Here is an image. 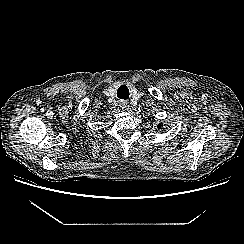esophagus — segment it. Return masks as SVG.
Segmentation results:
<instances>
[{"label": "esophagus", "instance_id": "1", "mask_svg": "<svg viewBox=\"0 0 244 244\" xmlns=\"http://www.w3.org/2000/svg\"><path fill=\"white\" fill-rule=\"evenodd\" d=\"M121 107L122 108H125L126 107V104L125 103H122Z\"/></svg>", "mask_w": 244, "mask_h": 244}]
</instances>
